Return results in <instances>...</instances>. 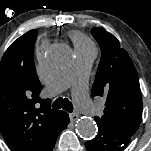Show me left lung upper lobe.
I'll return each mask as SVG.
<instances>
[{"mask_svg": "<svg viewBox=\"0 0 151 151\" xmlns=\"http://www.w3.org/2000/svg\"><path fill=\"white\" fill-rule=\"evenodd\" d=\"M102 56L92 87V95L102 97L104 114L97 125L132 136L142 118V98L137 71L115 36L102 28L91 30Z\"/></svg>", "mask_w": 151, "mask_h": 151, "instance_id": "left-lung-upper-lobe-1", "label": "left lung upper lobe"}]
</instances>
